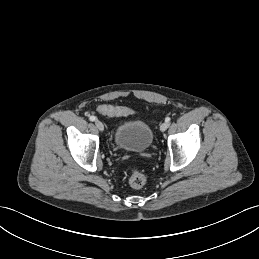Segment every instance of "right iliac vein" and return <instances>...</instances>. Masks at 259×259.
<instances>
[{"label":"right iliac vein","instance_id":"obj_1","mask_svg":"<svg viewBox=\"0 0 259 259\" xmlns=\"http://www.w3.org/2000/svg\"><path fill=\"white\" fill-rule=\"evenodd\" d=\"M95 125L98 128V130H100V131L104 130V125H103V123L100 120H96L95 121Z\"/></svg>","mask_w":259,"mask_h":259}]
</instances>
